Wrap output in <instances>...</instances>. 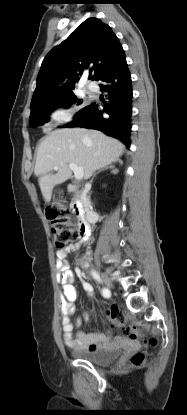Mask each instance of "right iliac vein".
I'll use <instances>...</instances> for the list:
<instances>
[{
    "instance_id": "right-iliac-vein-1",
    "label": "right iliac vein",
    "mask_w": 187,
    "mask_h": 415,
    "mask_svg": "<svg viewBox=\"0 0 187 415\" xmlns=\"http://www.w3.org/2000/svg\"><path fill=\"white\" fill-rule=\"evenodd\" d=\"M101 276H102V280H103V283L105 284V286L108 289H112L113 284H112V281L110 280V278L106 274H102Z\"/></svg>"
}]
</instances>
